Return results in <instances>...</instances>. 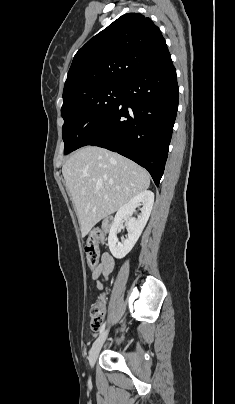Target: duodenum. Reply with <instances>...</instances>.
<instances>
[{"mask_svg":"<svg viewBox=\"0 0 235 404\" xmlns=\"http://www.w3.org/2000/svg\"><path fill=\"white\" fill-rule=\"evenodd\" d=\"M113 224V220L111 218H105L103 220V228L105 230H109Z\"/></svg>","mask_w":235,"mask_h":404,"instance_id":"duodenum-1","label":"duodenum"}]
</instances>
